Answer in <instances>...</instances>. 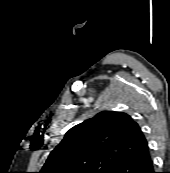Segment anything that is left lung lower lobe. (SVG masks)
Masks as SVG:
<instances>
[{
    "instance_id": "left-lung-lower-lobe-1",
    "label": "left lung lower lobe",
    "mask_w": 170,
    "mask_h": 173,
    "mask_svg": "<svg viewBox=\"0 0 170 173\" xmlns=\"http://www.w3.org/2000/svg\"><path fill=\"white\" fill-rule=\"evenodd\" d=\"M114 173H155L149 148L138 155L131 156L120 164Z\"/></svg>"
}]
</instances>
